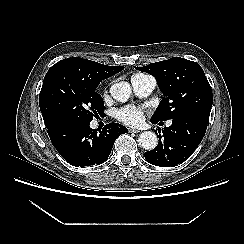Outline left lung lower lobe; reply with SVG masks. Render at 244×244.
I'll list each match as a JSON object with an SVG mask.
<instances>
[{
  "label": "left lung lower lobe",
  "instance_id": "left-lung-lower-lobe-1",
  "mask_svg": "<svg viewBox=\"0 0 244 244\" xmlns=\"http://www.w3.org/2000/svg\"><path fill=\"white\" fill-rule=\"evenodd\" d=\"M171 120L172 125L164 127L163 136L159 134L157 147L144 154L150 164L169 167L182 163L191 156L205 135L208 121L202 118L185 115Z\"/></svg>",
  "mask_w": 244,
  "mask_h": 244
}]
</instances>
